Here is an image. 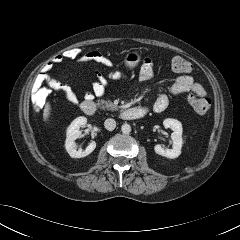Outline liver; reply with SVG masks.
<instances>
[{
    "instance_id": "obj_1",
    "label": "liver",
    "mask_w": 240,
    "mask_h": 240,
    "mask_svg": "<svg viewBox=\"0 0 240 240\" xmlns=\"http://www.w3.org/2000/svg\"><path fill=\"white\" fill-rule=\"evenodd\" d=\"M50 112H51V105L49 102H47L45 105V108H44V112H43V119L45 122H47V120L50 116Z\"/></svg>"
}]
</instances>
